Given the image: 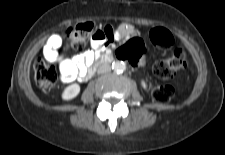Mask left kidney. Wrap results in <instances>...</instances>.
I'll use <instances>...</instances> for the list:
<instances>
[{
    "label": "left kidney",
    "instance_id": "5707ae66",
    "mask_svg": "<svg viewBox=\"0 0 225 155\" xmlns=\"http://www.w3.org/2000/svg\"><path fill=\"white\" fill-rule=\"evenodd\" d=\"M142 83V86L145 88L146 87V84H145V82H141Z\"/></svg>",
    "mask_w": 225,
    "mask_h": 155
}]
</instances>
